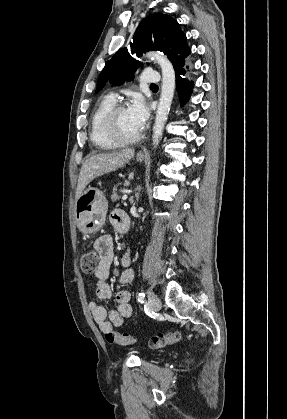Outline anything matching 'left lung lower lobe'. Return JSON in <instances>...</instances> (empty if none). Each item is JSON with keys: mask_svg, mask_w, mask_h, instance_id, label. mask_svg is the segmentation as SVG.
I'll use <instances>...</instances> for the list:
<instances>
[{"mask_svg": "<svg viewBox=\"0 0 287 419\" xmlns=\"http://www.w3.org/2000/svg\"><path fill=\"white\" fill-rule=\"evenodd\" d=\"M175 74H176L178 94H179L181 103H183L190 96V93L193 88V82L187 83L185 79L180 76V75L185 74V70L182 68H179L178 70H176Z\"/></svg>", "mask_w": 287, "mask_h": 419, "instance_id": "obj_1", "label": "left lung lower lobe"}]
</instances>
